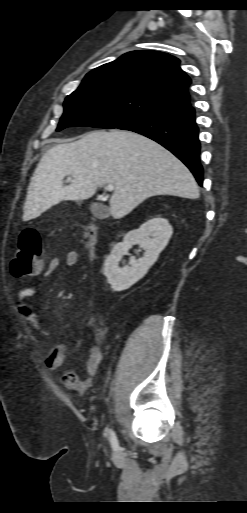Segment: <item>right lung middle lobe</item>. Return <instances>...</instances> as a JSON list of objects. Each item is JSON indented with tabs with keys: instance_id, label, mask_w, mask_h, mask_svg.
<instances>
[{
	"instance_id": "dd1d6c3e",
	"label": "right lung middle lobe",
	"mask_w": 247,
	"mask_h": 513,
	"mask_svg": "<svg viewBox=\"0 0 247 513\" xmlns=\"http://www.w3.org/2000/svg\"><path fill=\"white\" fill-rule=\"evenodd\" d=\"M168 110L142 94L118 88L76 90L66 97L56 131L70 126L119 128Z\"/></svg>"
}]
</instances>
